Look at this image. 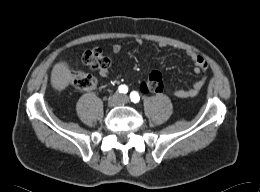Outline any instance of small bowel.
<instances>
[{
    "mask_svg": "<svg viewBox=\"0 0 260 192\" xmlns=\"http://www.w3.org/2000/svg\"><path fill=\"white\" fill-rule=\"evenodd\" d=\"M137 44L139 46H141L142 41L137 40ZM122 49H123L122 45L118 44V43L114 44L112 46V52L115 53V54L120 53L122 51ZM188 55L193 62V72L195 74H200V73H202V72H204L208 69V67H209L208 62L201 55H198V54L193 53V52H190ZM98 72L103 77H106V76L109 75L108 68L100 69ZM206 82H207V77L204 76L200 80H197L196 82H194L189 88L174 90V95L178 98L195 97L200 93L201 89L206 84ZM143 84H144V82L141 84V91L142 92H144Z\"/></svg>",
    "mask_w": 260,
    "mask_h": 192,
    "instance_id": "small-bowel-1",
    "label": "small bowel"
}]
</instances>
